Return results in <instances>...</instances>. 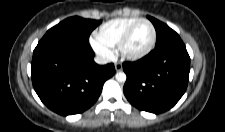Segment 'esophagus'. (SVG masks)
Wrapping results in <instances>:
<instances>
[{
    "label": "esophagus",
    "instance_id": "obj_1",
    "mask_svg": "<svg viewBox=\"0 0 225 132\" xmlns=\"http://www.w3.org/2000/svg\"><path fill=\"white\" fill-rule=\"evenodd\" d=\"M115 70H116L117 72L121 71V70H122V64L119 63V62L115 63Z\"/></svg>",
    "mask_w": 225,
    "mask_h": 132
}]
</instances>
